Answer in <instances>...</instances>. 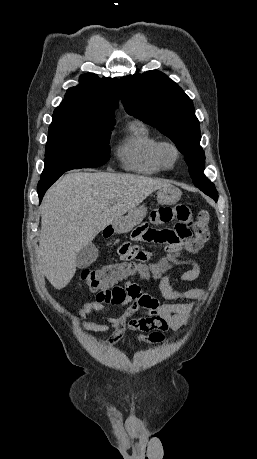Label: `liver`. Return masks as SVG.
Masks as SVG:
<instances>
[{
  "label": "liver",
  "instance_id": "obj_1",
  "mask_svg": "<svg viewBox=\"0 0 257 459\" xmlns=\"http://www.w3.org/2000/svg\"><path fill=\"white\" fill-rule=\"evenodd\" d=\"M169 185L134 174L65 175L49 189L41 206L38 263L52 286L63 289L71 281L77 253L103 229Z\"/></svg>",
  "mask_w": 257,
  "mask_h": 459
}]
</instances>
